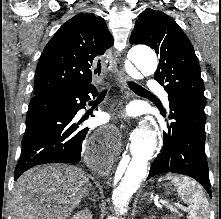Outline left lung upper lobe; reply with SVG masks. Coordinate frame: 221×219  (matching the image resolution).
<instances>
[{
	"mask_svg": "<svg viewBox=\"0 0 221 219\" xmlns=\"http://www.w3.org/2000/svg\"><path fill=\"white\" fill-rule=\"evenodd\" d=\"M131 44H146L160 57L155 79L169 100L205 108L204 84L195 51L179 25L161 11L146 9L135 23Z\"/></svg>",
	"mask_w": 221,
	"mask_h": 219,
	"instance_id": "left-lung-upper-lobe-1",
	"label": "left lung upper lobe"
}]
</instances>
